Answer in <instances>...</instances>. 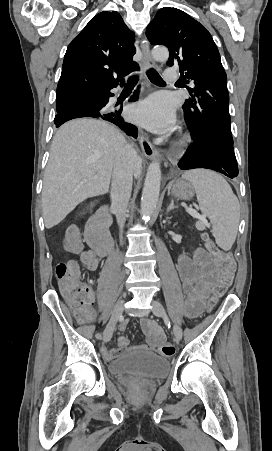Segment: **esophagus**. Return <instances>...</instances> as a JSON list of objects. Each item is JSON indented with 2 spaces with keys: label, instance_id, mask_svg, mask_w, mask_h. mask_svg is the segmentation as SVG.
<instances>
[{
  "label": "esophagus",
  "instance_id": "1",
  "mask_svg": "<svg viewBox=\"0 0 272 451\" xmlns=\"http://www.w3.org/2000/svg\"><path fill=\"white\" fill-rule=\"evenodd\" d=\"M141 49H142V60H141V67L143 71L146 69H150L151 67L155 66V62L151 57L150 54V48H149V42L148 40H143L141 42ZM141 149L144 153V155L149 159L158 158L163 160V157L157 152L155 147L152 145V143L149 141L148 137L145 134H141L139 138Z\"/></svg>",
  "mask_w": 272,
  "mask_h": 451
}]
</instances>
